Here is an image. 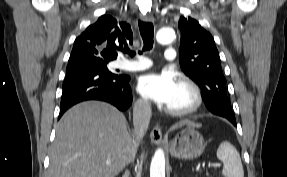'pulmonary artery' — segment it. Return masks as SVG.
I'll use <instances>...</instances> for the list:
<instances>
[{
    "instance_id": "e3ab8cb5",
    "label": "pulmonary artery",
    "mask_w": 287,
    "mask_h": 177,
    "mask_svg": "<svg viewBox=\"0 0 287 177\" xmlns=\"http://www.w3.org/2000/svg\"><path fill=\"white\" fill-rule=\"evenodd\" d=\"M137 60L129 61V60H120L117 62V67L126 70V71H141L150 66V62L148 58L142 56V55H136ZM164 59L166 63L172 64L175 60V48L174 47H167L164 53Z\"/></svg>"
}]
</instances>
